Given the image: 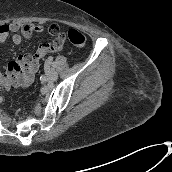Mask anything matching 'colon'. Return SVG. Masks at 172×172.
<instances>
[{
    "instance_id": "5ec220e1",
    "label": "colon",
    "mask_w": 172,
    "mask_h": 172,
    "mask_svg": "<svg viewBox=\"0 0 172 172\" xmlns=\"http://www.w3.org/2000/svg\"><path fill=\"white\" fill-rule=\"evenodd\" d=\"M30 30H31V28L25 27L23 29L24 35L28 36L30 34ZM45 30L47 32H49L50 34H52V35H58L59 34V29H56V28H54L52 26H50L48 28H45ZM67 38L69 39V41L73 45H75L77 47H83L85 45V43H86L85 36L81 32H79V31H77L75 29H71V30H69L67 32ZM7 83H8V79L5 78L4 85H7Z\"/></svg>"
}]
</instances>
